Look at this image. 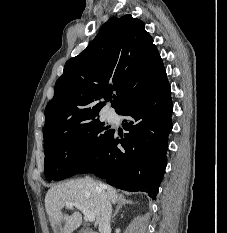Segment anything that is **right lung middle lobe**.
I'll return each instance as SVG.
<instances>
[{"instance_id":"obj_1","label":"right lung middle lobe","mask_w":227,"mask_h":233,"mask_svg":"<svg viewBox=\"0 0 227 233\" xmlns=\"http://www.w3.org/2000/svg\"><path fill=\"white\" fill-rule=\"evenodd\" d=\"M111 133L109 126L95 119L44 145L46 179L62 180L79 173L97 157Z\"/></svg>"}]
</instances>
